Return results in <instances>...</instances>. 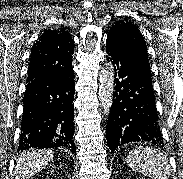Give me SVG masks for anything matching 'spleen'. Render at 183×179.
<instances>
[{
    "label": "spleen",
    "instance_id": "obj_1",
    "mask_svg": "<svg viewBox=\"0 0 183 179\" xmlns=\"http://www.w3.org/2000/svg\"><path fill=\"white\" fill-rule=\"evenodd\" d=\"M132 170L151 179H168L171 167L166 156L158 149L148 146L134 148L127 155Z\"/></svg>",
    "mask_w": 183,
    "mask_h": 179
}]
</instances>
